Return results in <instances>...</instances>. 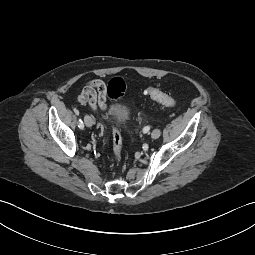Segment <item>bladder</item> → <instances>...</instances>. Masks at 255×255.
Wrapping results in <instances>:
<instances>
[{
  "label": "bladder",
  "instance_id": "31cf9c89",
  "mask_svg": "<svg viewBox=\"0 0 255 255\" xmlns=\"http://www.w3.org/2000/svg\"><path fill=\"white\" fill-rule=\"evenodd\" d=\"M108 117L118 124H124L130 119L129 107L120 102H116L109 107Z\"/></svg>",
  "mask_w": 255,
  "mask_h": 255
}]
</instances>
